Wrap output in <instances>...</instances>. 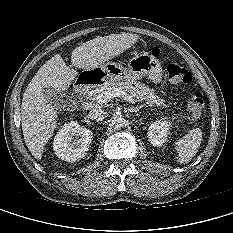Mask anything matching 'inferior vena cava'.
I'll return each instance as SVG.
<instances>
[{"mask_svg":"<svg viewBox=\"0 0 233 233\" xmlns=\"http://www.w3.org/2000/svg\"><path fill=\"white\" fill-rule=\"evenodd\" d=\"M90 119L102 121L106 117V112L102 109H92L88 114Z\"/></svg>","mask_w":233,"mask_h":233,"instance_id":"inferior-vena-cava-1","label":"inferior vena cava"}]
</instances>
